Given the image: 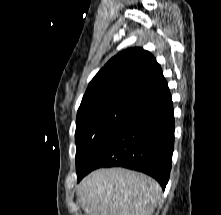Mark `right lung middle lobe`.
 Wrapping results in <instances>:
<instances>
[{"instance_id":"dd1d6c3e","label":"right lung middle lobe","mask_w":221,"mask_h":215,"mask_svg":"<svg viewBox=\"0 0 221 215\" xmlns=\"http://www.w3.org/2000/svg\"><path fill=\"white\" fill-rule=\"evenodd\" d=\"M135 106L119 101L91 102L79 107L76 118V172H82L91 158Z\"/></svg>"}]
</instances>
